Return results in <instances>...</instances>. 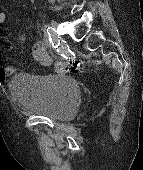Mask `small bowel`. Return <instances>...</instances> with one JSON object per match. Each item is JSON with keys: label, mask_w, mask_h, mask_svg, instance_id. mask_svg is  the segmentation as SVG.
Masks as SVG:
<instances>
[{"label": "small bowel", "mask_w": 143, "mask_h": 170, "mask_svg": "<svg viewBox=\"0 0 143 170\" xmlns=\"http://www.w3.org/2000/svg\"><path fill=\"white\" fill-rule=\"evenodd\" d=\"M5 21L4 12L0 11V27ZM33 57L38 60L41 64L48 66L52 63V57L45 48L41 41H36L32 47ZM58 68V66H57ZM15 73V68L9 65H5L2 62V57L0 54V81H5L9 76Z\"/></svg>", "instance_id": "1"}]
</instances>
